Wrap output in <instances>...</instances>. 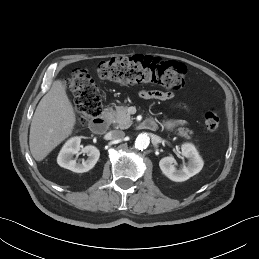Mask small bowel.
I'll list each match as a JSON object with an SVG mask.
<instances>
[{
    "mask_svg": "<svg viewBox=\"0 0 259 259\" xmlns=\"http://www.w3.org/2000/svg\"><path fill=\"white\" fill-rule=\"evenodd\" d=\"M140 96L145 99V100H169L172 99L174 94L169 91H157V90H142L140 92ZM183 121H168L166 122V125L168 127H174V126H179L183 125Z\"/></svg>",
    "mask_w": 259,
    "mask_h": 259,
    "instance_id": "obj_1",
    "label": "small bowel"
}]
</instances>
